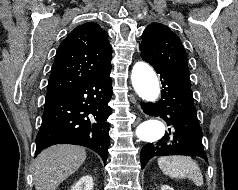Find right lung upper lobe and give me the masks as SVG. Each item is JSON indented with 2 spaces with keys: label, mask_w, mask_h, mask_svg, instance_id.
<instances>
[{
  "label": "right lung upper lobe",
  "mask_w": 238,
  "mask_h": 190,
  "mask_svg": "<svg viewBox=\"0 0 238 190\" xmlns=\"http://www.w3.org/2000/svg\"><path fill=\"white\" fill-rule=\"evenodd\" d=\"M108 34L96 23L76 27L60 44L45 100L60 96L111 68Z\"/></svg>",
  "instance_id": "cb5924a9"
}]
</instances>
